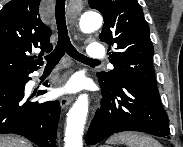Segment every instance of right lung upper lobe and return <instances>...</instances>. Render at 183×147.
<instances>
[{"mask_svg":"<svg viewBox=\"0 0 183 147\" xmlns=\"http://www.w3.org/2000/svg\"><path fill=\"white\" fill-rule=\"evenodd\" d=\"M41 0H11L0 11V80L38 69L41 56L52 50L51 29L39 15ZM33 48H40L37 57Z\"/></svg>","mask_w":183,"mask_h":147,"instance_id":"cb5924a9","label":"right lung upper lobe"}]
</instances>
